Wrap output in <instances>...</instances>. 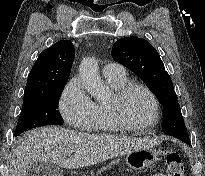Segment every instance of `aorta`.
<instances>
[{"label": "aorta", "mask_w": 205, "mask_h": 176, "mask_svg": "<svg viewBox=\"0 0 205 176\" xmlns=\"http://www.w3.org/2000/svg\"><path fill=\"white\" fill-rule=\"evenodd\" d=\"M79 75L85 90L96 97L103 98L105 95V86L101 80L97 61L94 58H85L79 66Z\"/></svg>", "instance_id": "aorta-1"}]
</instances>
